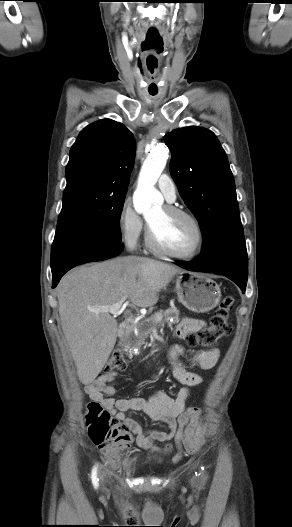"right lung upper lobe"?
Here are the masks:
<instances>
[{
	"label": "right lung upper lobe",
	"mask_w": 292,
	"mask_h": 527,
	"mask_svg": "<svg viewBox=\"0 0 292 527\" xmlns=\"http://www.w3.org/2000/svg\"><path fill=\"white\" fill-rule=\"evenodd\" d=\"M134 156L133 135L123 124L111 119L94 122L81 131L70 150L67 185L127 191Z\"/></svg>",
	"instance_id": "cb5924a9"
}]
</instances>
